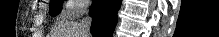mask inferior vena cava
Segmentation results:
<instances>
[{
  "instance_id": "1",
  "label": "inferior vena cava",
  "mask_w": 219,
  "mask_h": 37,
  "mask_svg": "<svg viewBox=\"0 0 219 37\" xmlns=\"http://www.w3.org/2000/svg\"><path fill=\"white\" fill-rule=\"evenodd\" d=\"M91 24H92V17L89 15H86L82 19V21L79 23L78 36L89 37Z\"/></svg>"
}]
</instances>
